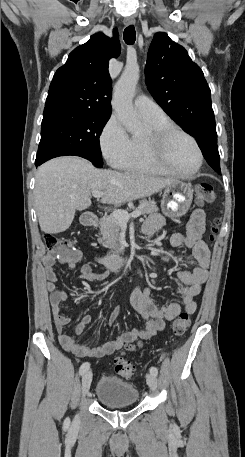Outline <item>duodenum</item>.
Wrapping results in <instances>:
<instances>
[{"label":"duodenum","mask_w":245,"mask_h":457,"mask_svg":"<svg viewBox=\"0 0 245 457\" xmlns=\"http://www.w3.org/2000/svg\"><path fill=\"white\" fill-rule=\"evenodd\" d=\"M86 226H93L97 223V216L94 214L86 215L83 219ZM101 262L111 271H120L130 268L134 264V259L128 256H105Z\"/></svg>","instance_id":"410a0bca"}]
</instances>
